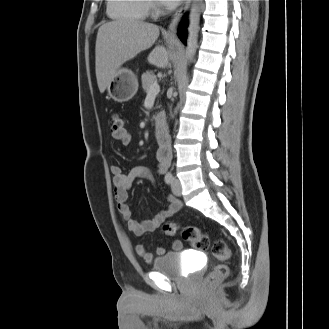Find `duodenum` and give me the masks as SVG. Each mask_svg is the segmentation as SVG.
I'll return each instance as SVG.
<instances>
[{
    "mask_svg": "<svg viewBox=\"0 0 329 329\" xmlns=\"http://www.w3.org/2000/svg\"><path fill=\"white\" fill-rule=\"evenodd\" d=\"M154 133L156 137L162 142L165 143L168 139L166 126H165V117L161 114L157 115L152 123Z\"/></svg>",
    "mask_w": 329,
    "mask_h": 329,
    "instance_id": "410a0bca",
    "label": "duodenum"
}]
</instances>
